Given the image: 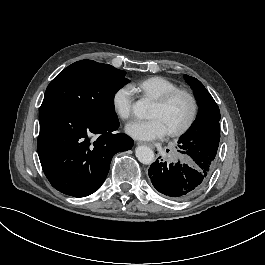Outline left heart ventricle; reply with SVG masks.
<instances>
[{
	"label": "left heart ventricle",
	"mask_w": 265,
	"mask_h": 265,
	"mask_svg": "<svg viewBox=\"0 0 265 265\" xmlns=\"http://www.w3.org/2000/svg\"><path fill=\"white\" fill-rule=\"evenodd\" d=\"M190 114V104L184 97L173 100L164 109H158L152 105L148 118L158 119L165 127L166 131H173L182 127L188 120Z\"/></svg>",
	"instance_id": "obj_1"
}]
</instances>
